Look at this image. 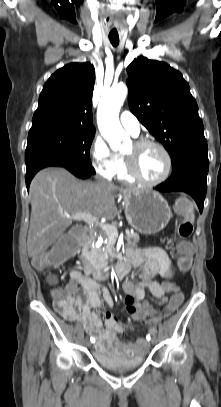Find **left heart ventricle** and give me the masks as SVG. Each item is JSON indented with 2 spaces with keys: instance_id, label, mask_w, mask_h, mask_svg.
<instances>
[{
  "instance_id": "left-heart-ventricle-1",
  "label": "left heart ventricle",
  "mask_w": 221,
  "mask_h": 407,
  "mask_svg": "<svg viewBox=\"0 0 221 407\" xmlns=\"http://www.w3.org/2000/svg\"><path fill=\"white\" fill-rule=\"evenodd\" d=\"M124 154L135 158L140 174L146 179L157 180L165 174L167 161L164 154L156 147L138 150L132 143Z\"/></svg>"
}]
</instances>
